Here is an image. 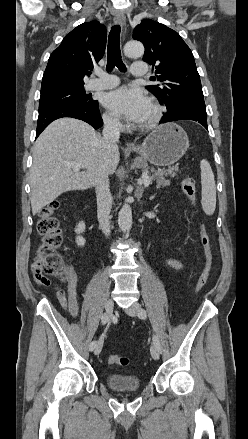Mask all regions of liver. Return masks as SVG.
<instances>
[{"instance_id": "6515ba94", "label": "liver", "mask_w": 248, "mask_h": 439, "mask_svg": "<svg viewBox=\"0 0 248 439\" xmlns=\"http://www.w3.org/2000/svg\"><path fill=\"white\" fill-rule=\"evenodd\" d=\"M119 160L118 146H108L89 124L73 118L52 122L33 147L29 175L32 213L37 214L64 192L94 186L99 176L115 172ZM66 162L81 163L86 170H74Z\"/></svg>"}]
</instances>
